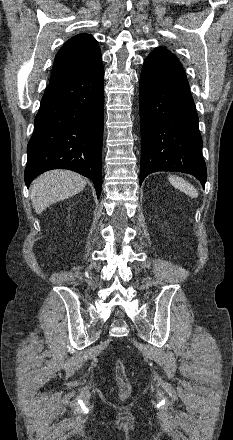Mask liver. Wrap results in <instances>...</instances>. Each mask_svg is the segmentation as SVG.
Wrapping results in <instances>:
<instances>
[{
    "label": "liver",
    "mask_w": 233,
    "mask_h": 440,
    "mask_svg": "<svg viewBox=\"0 0 233 440\" xmlns=\"http://www.w3.org/2000/svg\"><path fill=\"white\" fill-rule=\"evenodd\" d=\"M86 178L68 170H52L37 177L31 185V201L37 214L48 206L82 191Z\"/></svg>",
    "instance_id": "liver-1"
}]
</instances>
